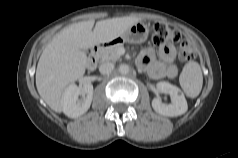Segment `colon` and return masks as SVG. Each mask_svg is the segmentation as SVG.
<instances>
[{
  "mask_svg": "<svg viewBox=\"0 0 238 158\" xmlns=\"http://www.w3.org/2000/svg\"><path fill=\"white\" fill-rule=\"evenodd\" d=\"M152 41L156 46H165L171 43L178 44L180 61L188 62L196 57L194 48L182 37V34L162 22H156L152 25Z\"/></svg>",
  "mask_w": 238,
  "mask_h": 158,
  "instance_id": "1",
  "label": "colon"
}]
</instances>
